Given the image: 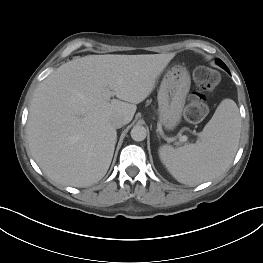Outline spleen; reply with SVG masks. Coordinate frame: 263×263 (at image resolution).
<instances>
[{"label": "spleen", "instance_id": "obj_1", "mask_svg": "<svg viewBox=\"0 0 263 263\" xmlns=\"http://www.w3.org/2000/svg\"><path fill=\"white\" fill-rule=\"evenodd\" d=\"M240 131L239 109L233 100L224 99L195 144L163 145L160 160L177 181L197 185L228 168L238 149Z\"/></svg>", "mask_w": 263, "mask_h": 263}]
</instances>
